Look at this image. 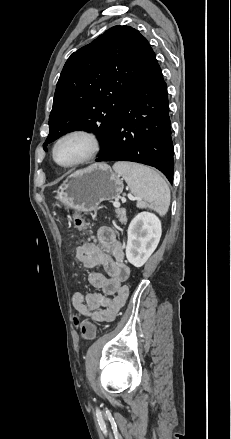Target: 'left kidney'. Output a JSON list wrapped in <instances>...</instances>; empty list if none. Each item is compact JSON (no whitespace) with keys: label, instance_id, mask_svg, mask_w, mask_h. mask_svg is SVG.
I'll use <instances>...</instances> for the list:
<instances>
[{"label":"left kidney","instance_id":"1","mask_svg":"<svg viewBox=\"0 0 231 439\" xmlns=\"http://www.w3.org/2000/svg\"><path fill=\"white\" fill-rule=\"evenodd\" d=\"M161 234V221L155 214L150 212L137 214L127 231V260L135 267L143 266L157 248Z\"/></svg>","mask_w":231,"mask_h":439}]
</instances>
